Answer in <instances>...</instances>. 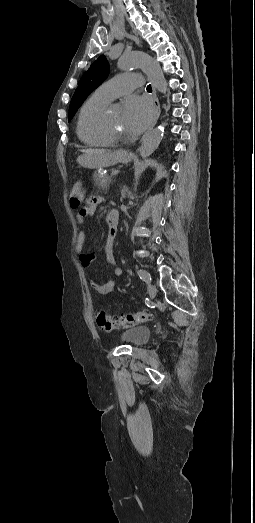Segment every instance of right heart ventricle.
I'll return each mask as SVG.
<instances>
[{"mask_svg": "<svg viewBox=\"0 0 255 523\" xmlns=\"http://www.w3.org/2000/svg\"><path fill=\"white\" fill-rule=\"evenodd\" d=\"M111 99L105 96L99 88L96 89L82 104L77 120V135L79 139L91 146H106L112 141L97 132L93 121L107 107Z\"/></svg>", "mask_w": 255, "mask_h": 523, "instance_id": "right-heart-ventricle-1", "label": "right heart ventricle"}]
</instances>
